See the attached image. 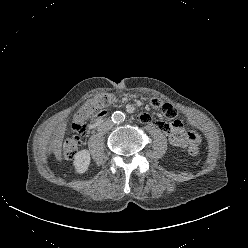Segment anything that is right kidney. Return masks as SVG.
<instances>
[{"mask_svg":"<svg viewBox=\"0 0 248 248\" xmlns=\"http://www.w3.org/2000/svg\"><path fill=\"white\" fill-rule=\"evenodd\" d=\"M91 157L88 150H81L77 152L74 156L73 165L75 170L79 174H83L88 171L90 165Z\"/></svg>","mask_w":248,"mask_h":248,"instance_id":"right-kidney-1","label":"right kidney"}]
</instances>
